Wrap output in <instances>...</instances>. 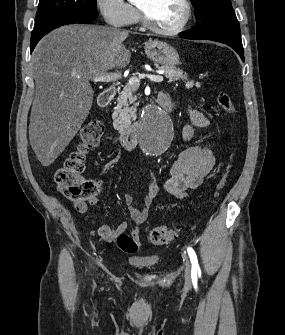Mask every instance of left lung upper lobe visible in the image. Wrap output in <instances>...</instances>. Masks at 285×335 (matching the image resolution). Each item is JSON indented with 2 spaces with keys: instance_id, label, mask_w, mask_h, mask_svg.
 I'll return each mask as SVG.
<instances>
[{
  "instance_id": "5c2ea615",
  "label": "left lung upper lobe",
  "mask_w": 285,
  "mask_h": 335,
  "mask_svg": "<svg viewBox=\"0 0 285 335\" xmlns=\"http://www.w3.org/2000/svg\"><path fill=\"white\" fill-rule=\"evenodd\" d=\"M194 4L195 15L202 21L215 13H234L231 0H191Z\"/></svg>"
}]
</instances>
